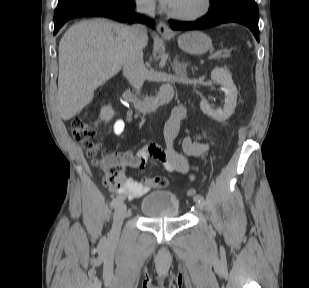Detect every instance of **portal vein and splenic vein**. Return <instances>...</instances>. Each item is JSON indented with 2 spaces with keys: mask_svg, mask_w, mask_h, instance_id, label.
Instances as JSON below:
<instances>
[{
  "mask_svg": "<svg viewBox=\"0 0 309 288\" xmlns=\"http://www.w3.org/2000/svg\"><path fill=\"white\" fill-rule=\"evenodd\" d=\"M221 54H222V50H217L214 53H212L211 55H209L208 59L216 58V57L220 56Z\"/></svg>",
  "mask_w": 309,
  "mask_h": 288,
  "instance_id": "portal-vein-and-splenic-vein-1",
  "label": "portal vein and splenic vein"
}]
</instances>
